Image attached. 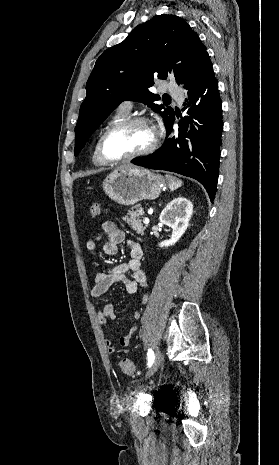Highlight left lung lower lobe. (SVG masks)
<instances>
[{
	"instance_id": "left-lung-lower-lobe-1",
	"label": "left lung lower lobe",
	"mask_w": 279,
	"mask_h": 465,
	"mask_svg": "<svg viewBox=\"0 0 279 465\" xmlns=\"http://www.w3.org/2000/svg\"><path fill=\"white\" fill-rule=\"evenodd\" d=\"M183 87L187 90L188 103L185 105L191 106L187 114L198 120L199 123H195L197 129L187 133L190 118L186 116L178 123L179 131L172 133V122L167 128L165 143L153 154L136 158L132 163L194 178L205 187L213 201L217 190L223 121L218 83L207 52Z\"/></svg>"
}]
</instances>
